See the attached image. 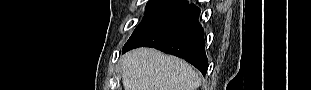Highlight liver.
<instances>
[{
  "mask_svg": "<svg viewBox=\"0 0 311 90\" xmlns=\"http://www.w3.org/2000/svg\"><path fill=\"white\" fill-rule=\"evenodd\" d=\"M122 83L125 90H195L199 77L182 59L140 48L123 56Z\"/></svg>",
  "mask_w": 311,
  "mask_h": 90,
  "instance_id": "6515ba94",
  "label": "liver"
}]
</instances>
